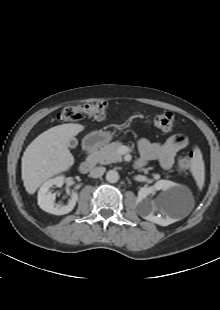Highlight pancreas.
Here are the masks:
<instances>
[{
    "mask_svg": "<svg viewBox=\"0 0 220 310\" xmlns=\"http://www.w3.org/2000/svg\"><path fill=\"white\" fill-rule=\"evenodd\" d=\"M122 143L119 141L105 145L100 150L94 152L91 157L100 164L106 165L115 162H121L122 157L118 154L119 147Z\"/></svg>",
    "mask_w": 220,
    "mask_h": 310,
    "instance_id": "obj_1",
    "label": "pancreas"
}]
</instances>
